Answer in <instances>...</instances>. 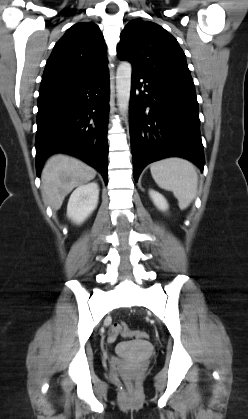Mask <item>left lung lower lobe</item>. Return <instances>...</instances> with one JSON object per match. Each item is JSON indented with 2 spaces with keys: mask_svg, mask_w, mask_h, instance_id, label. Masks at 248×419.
<instances>
[{
  "mask_svg": "<svg viewBox=\"0 0 248 419\" xmlns=\"http://www.w3.org/2000/svg\"><path fill=\"white\" fill-rule=\"evenodd\" d=\"M129 125L135 181L147 164L171 156L203 171L195 89L132 70Z\"/></svg>",
  "mask_w": 248,
  "mask_h": 419,
  "instance_id": "1",
  "label": "left lung lower lobe"
}]
</instances>
